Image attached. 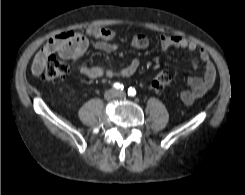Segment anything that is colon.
<instances>
[{
  "instance_id": "5ec220e1",
  "label": "colon",
  "mask_w": 245,
  "mask_h": 195,
  "mask_svg": "<svg viewBox=\"0 0 245 195\" xmlns=\"http://www.w3.org/2000/svg\"><path fill=\"white\" fill-rule=\"evenodd\" d=\"M69 73L67 62L60 59L55 54L49 55L47 58L46 68L44 71V79L52 82L65 78ZM171 82V75L167 70H161L155 73L151 80V87L156 90L164 89Z\"/></svg>"
}]
</instances>
